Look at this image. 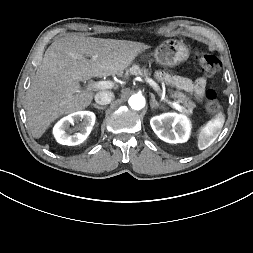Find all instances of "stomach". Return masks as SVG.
Wrapping results in <instances>:
<instances>
[{"label": "stomach", "instance_id": "0dacf381", "mask_svg": "<svg viewBox=\"0 0 253 253\" xmlns=\"http://www.w3.org/2000/svg\"><path fill=\"white\" fill-rule=\"evenodd\" d=\"M190 51L188 47L179 40H166L160 44L155 52V60L164 66H176L188 60Z\"/></svg>", "mask_w": 253, "mask_h": 253}]
</instances>
